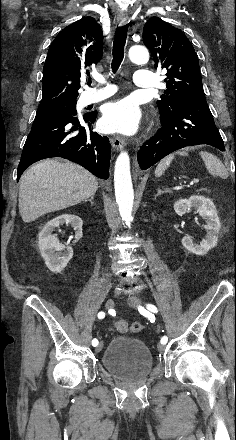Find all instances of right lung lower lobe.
I'll use <instances>...</instances> for the list:
<instances>
[{
	"label": "right lung lower lobe",
	"instance_id": "obj_1",
	"mask_svg": "<svg viewBox=\"0 0 236 440\" xmlns=\"http://www.w3.org/2000/svg\"><path fill=\"white\" fill-rule=\"evenodd\" d=\"M76 109L63 106L39 107L23 147L17 169L18 180L31 164L61 157L85 167L101 179L109 177L110 143L93 131L97 113L76 117Z\"/></svg>",
	"mask_w": 236,
	"mask_h": 440
}]
</instances>
